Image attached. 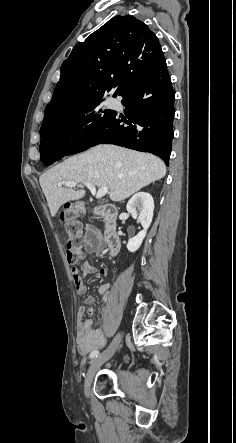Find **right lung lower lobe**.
Segmentation results:
<instances>
[{
	"instance_id": "obj_1",
	"label": "right lung lower lobe",
	"mask_w": 236,
	"mask_h": 443,
	"mask_svg": "<svg viewBox=\"0 0 236 443\" xmlns=\"http://www.w3.org/2000/svg\"><path fill=\"white\" fill-rule=\"evenodd\" d=\"M125 117L115 111L69 145L44 146L40 159L50 165L100 143L150 152L169 164L173 138L174 91L164 56L121 94Z\"/></svg>"
}]
</instances>
